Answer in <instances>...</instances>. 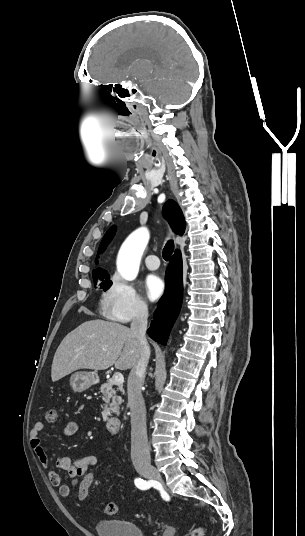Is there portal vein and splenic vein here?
<instances>
[{"label": "portal vein and splenic vein", "mask_w": 305, "mask_h": 536, "mask_svg": "<svg viewBox=\"0 0 305 536\" xmlns=\"http://www.w3.org/2000/svg\"><path fill=\"white\" fill-rule=\"evenodd\" d=\"M103 350H106V348H103ZM113 384H116V386H121V384H123L124 382V378L122 376V374H119V372H116V374H114V376H112L111 378Z\"/></svg>", "instance_id": "18ae733b"}]
</instances>
